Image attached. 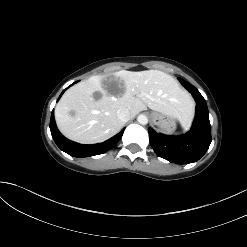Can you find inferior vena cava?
I'll list each match as a JSON object with an SVG mask.
<instances>
[{
  "label": "inferior vena cava",
  "mask_w": 247,
  "mask_h": 247,
  "mask_svg": "<svg viewBox=\"0 0 247 247\" xmlns=\"http://www.w3.org/2000/svg\"><path fill=\"white\" fill-rule=\"evenodd\" d=\"M117 117L122 122H127L131 118L129 109H127V108L118 109L117 110Z\"/></svg>",
  "instance_id": "602c4592"
}]
</instances>
